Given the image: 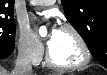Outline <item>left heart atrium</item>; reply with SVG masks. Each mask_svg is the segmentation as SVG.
I'll use <instances>...</instances> for the list:
<instances>
[{"label": "left heart atrium", "mask_w": 107, "mask_h": 75, "mask_svg": "<svg viewBox=\"0 0 107 75\" xmlns=\"http://www.w3.org/2000/svg\"><path fill=\"white\" fill-rule=\"evenodd\" d=\"M58 32H59V30H57V29H52L50 31L48 38H47V44L49 47H51V45L53 44Z\"/></svg>", "instance_id": "39dd6f15"}]
</instances>
